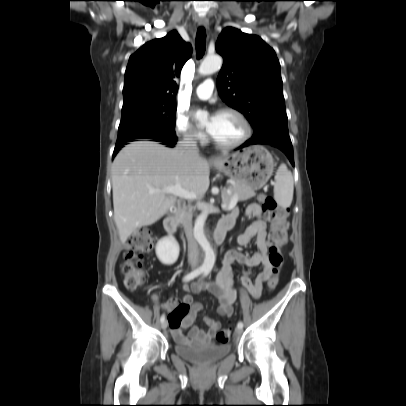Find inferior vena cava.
<instances>
[{
	"label": "inferior vena cava",
	"instance_id": "inferior-vena-cava-1",
	"mask_svg": "<svg viewBox=\"0 0 406 406\" xmlns=\"http://www.w3.org/2000/svg\"><path fill=\"white\" fill-rule=\"evenodd\" d=\"M176 149L185 157L198 158L199 149L197 142L192 135H185L182 141H179ZM185 234L188 241V260L191 265H196L198 262V245L193 236L192 231V215L188 213L184 219Z\"/></svg>",
	"mask_w": 406,
	"mask_h": 406
}]
</instances>
